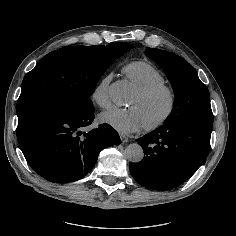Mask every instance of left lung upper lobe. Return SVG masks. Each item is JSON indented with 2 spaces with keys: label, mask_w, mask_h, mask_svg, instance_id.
<instances>
[{
  "label": "left lung upper lobe",
  "mask_w": 236,
  "mask_h": 236,
  "mask_svg": "<svg viewBox=\"0 0 236 236\" xmlns=\"http://www.w3.org/2000/svg\"><path fill=\"white\" fill-rule=\"evenodd\" d=\"M145 52L164 69L174 89V108L164 125L186 121L213 123L209 91L195 69L174 53L154 48Z\"/></svg>",
  "instance_id": "left-lung-upper-lobe-1"
}]
</instances>
